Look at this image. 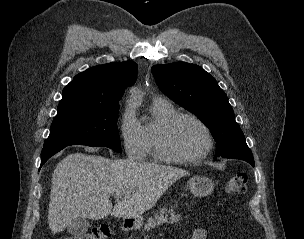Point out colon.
I'll return each mask as SVG.
<instances>
[{"mask_svg": "<svg viewBox=\"0 0 304 239\" xmlns=\"http://www.w3.org/2000/svg\"><path fill=\"white\" fill-rule=\"evenodd\" d=\"M247 176L243 173L231 176L226 184L225 190L230 195H241L246 190ZM110 236V229L107 225L95 227L79 236L67 237L64 239H107Z\"/></svg>", "mask_w": 304, "mask_h": 239, "instance_id": "1", "label": "colon"}]
</instances>
